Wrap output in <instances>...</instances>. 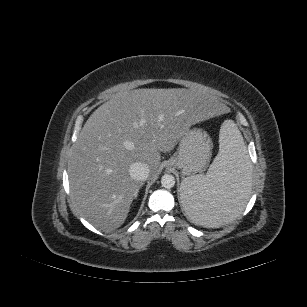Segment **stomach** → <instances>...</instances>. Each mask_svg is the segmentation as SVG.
I'll use <instances>...</instances> for the list:
<instances>
[{"instance_id":"stomach-1","label":"stomach","mask_w":307,"mask_h":307,"mask_svg":"<svg viewBox=\"0 0 307 307\" xmlns=\"http://www.w3.org/2000/svg\"><path fill=\"white\" fill-rule=\"evenodd\" d=\"M212 141L202 128H189L180 139L177 152L169 165L181 170L183 176L203 172L210 161Z\"/></svg>"}]
</instances>
